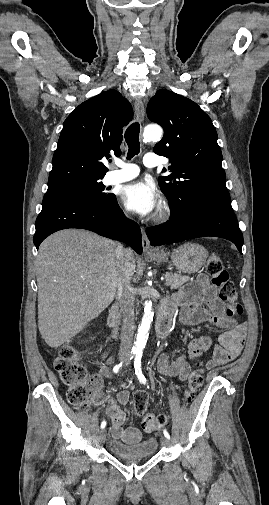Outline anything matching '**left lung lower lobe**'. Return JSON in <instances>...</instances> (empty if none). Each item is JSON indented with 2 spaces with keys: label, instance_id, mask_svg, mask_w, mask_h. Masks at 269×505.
<instances>
[{
  "label": "left lung lower lobe",
  "instance_id": "0a47b994",
  "mask_svg": "<svg viewBox=\"0 0 269 505\" xmlns=\"http://www.w3.org/2000/svg\"><path fill=\"white\" fill-rule=\"evenodd\" d=\"M152 246L171 244L191 238L215 236L232 241L242 253L243 235L230 199L197 196L192 211L179 217L171 212L170 220L146 230Z\"/></svg>",
  "mask_w": 269,
  "mask_h": 505
}]
</instances>
